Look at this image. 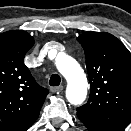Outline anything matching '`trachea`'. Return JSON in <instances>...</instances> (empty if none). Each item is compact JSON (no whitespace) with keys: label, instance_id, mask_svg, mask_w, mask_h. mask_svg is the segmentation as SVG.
Returning <instances> with one entry per match:
<instances>
[{"label":"trachea","instance_id":"1","mask_svg":"<svg viewBox=\"0 0 131 131\" xmlns=\"http://www.w3.org/2000/svg\"><path fill=\"white\" fill-rule=\"evenodd\" d=\"M61 82V78L58 74H53L51 77H50V80H49V84L51 86H58Z\"/></svg>","mask_w":131,"mask_h":131}]
</instances>
